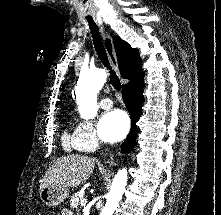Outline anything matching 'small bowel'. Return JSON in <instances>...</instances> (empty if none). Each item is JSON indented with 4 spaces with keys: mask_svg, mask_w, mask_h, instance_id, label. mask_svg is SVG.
<instances>
[{
    "mask_svg": "<svg viewBox=\"0 0 221 215\" xmlns=\"http://www.w3.org/2000/svg\"><path fill=\"white\" fill-rule=\"evenodd\" d=\"M61 215H72V213L69 210H63Z\"/></svg>",
    "mask_w": 221,
    "mask_h": 215,
    "instance_id": "obj_1",
    "label": "small bowel"
}]
</instances>
